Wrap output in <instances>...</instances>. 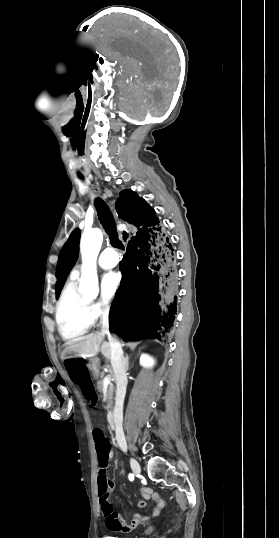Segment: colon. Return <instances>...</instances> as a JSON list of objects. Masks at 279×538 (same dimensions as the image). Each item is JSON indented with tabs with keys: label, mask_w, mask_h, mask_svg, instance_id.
I'll use <instances>...</instances> for the list:
<instances>
[{
	"label": "colon",
	"mask_w": 279,
	"mask_h": 538,
	"mask_svg": "<svg viewBox=\"0 0 279 538\" xmlns=\"http://www.w3.org/2000/svg\"><path fill=\"white\" fill-rule=\"evenodd\" d=\"M93 439L98 458V493L100 504L104 516L108 517L114 513L109 502V484L107 479V465L110 459L111 447L102 430H94Z\"/></svg>",
	"instance_id": "1"
}]
</instances>
